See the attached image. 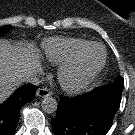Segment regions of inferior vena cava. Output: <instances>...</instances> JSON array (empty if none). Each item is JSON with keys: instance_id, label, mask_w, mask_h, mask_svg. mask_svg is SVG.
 <instances>
[{"instance_id": "inferior-vena-cava-1", "label": "inferior vena cava", "mask_w": 135, "mask_h": 135, "mask_svg": "<svg viewBox=\"0 0 135 135\" xmlns=\"http://www.w3.org/2000/svg\"><path fill=\"white\" fill-rule=\"evenodd\" d=\"M25 81L33 84V85H39L40 79L38 77V70L31 69L25 72L24 74Z\"/></svg>"}]
</instances>
